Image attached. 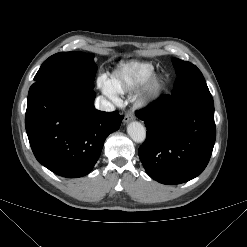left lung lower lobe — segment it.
<instances>
[{"mask_svg":"<svg viewBox=\"0 0 247 247\" xmlns=\"http://www.w3.org/2000/svg\"><path fill=\"white\" fill-rule=\"evenodd\" d=\"M135 114L147 127L138 153L150 177L176 185L202 173L216 138L209 89L162 96Z\"/></svg>","mask_w":247,"mask_h":247,"instance_id":"0a47b994","label":"left lung lower lobe"}]
</instances>
